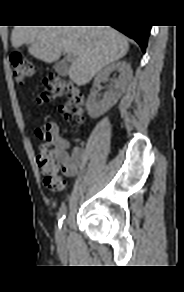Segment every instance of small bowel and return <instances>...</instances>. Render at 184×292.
Masks as SVG:
<instances>
[{
  "mask_svg": "<svg viewBox=\"0 0 184 292\" xmlns=\"http://www.w3.org/2000/svg\"><path fill=\"white\" fill-rule=\"evenodd\" d=\"M51 145L56 152V159L61 172L67 177L74 176L83 163L84 152L82 147L74 146L71 153H69L68 150L71 148V143L60 136L57 127Z\"/></svg>",
  "mask_w": 184,
  "mask_h": 292,
  "instance_id": "c3829d8e",
  "label": "small bowel"
}]
</instances>
